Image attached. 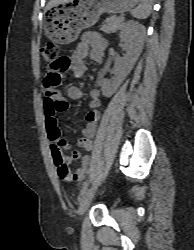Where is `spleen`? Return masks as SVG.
Segmentation results:
<instances>
[{"mask_svg":"<svg viewBox=\"0 0 194 250\" xmlns=\"http://www.w3.org/2000/svg\"><path fill=\"white\" fill-rule=\"evenodd\" d=\"M152 10V0H140V4L131 12L137 19H146Z\"/></svg>","mask_w":194,"mask_h":250,"instance_id":"obj_1","label":"spleen"}]
</instances>
